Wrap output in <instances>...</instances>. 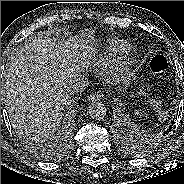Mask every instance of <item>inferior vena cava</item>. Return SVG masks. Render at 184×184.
<instances>
[{
	"label": "inferior vena cava",
	"mask_w": 184,
	"mask_h": 184,
	"mask_svg": "<svg viewBox=\"0 0 184 184\" xmlns=\"http://www.w3.org/2000/svg\"><path fill=\"white\" fill-rule=\"evenodd\" d=\"M89 85L86 75L75 74L71 77L68 90L70 93H78L84 91Z\"/></svg>",
	"instance_id": "1"
}]
</instances>
